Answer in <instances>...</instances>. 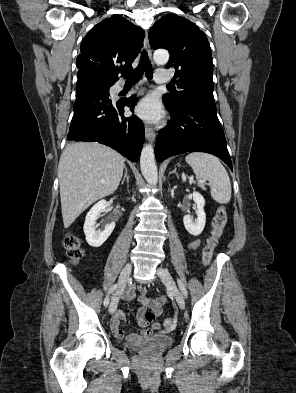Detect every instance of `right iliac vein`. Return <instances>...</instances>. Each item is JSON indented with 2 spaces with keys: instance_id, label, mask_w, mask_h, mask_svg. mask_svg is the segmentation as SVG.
Masks as SVG:
<instances>
[{
  "instance_id": "obj_1",
  "label": "right iliac vein",
  "mask_w": 296,
  "mask_h": 393,
  "mask_svg": "<svg viewBox=\"0 0 296 393\" xmlns=\"http://www.w3.org/2000/svg\"><path fill=\"white\" fill-rule=\"evenodd\" d=\"M131 268H132L131 264L127 263L119 276V280H118L119 287H118V290L116 291L114 297L112 298V301L109 306V313L110 314H113L117 308L120 294L123 291V289L128 281V278L131 273Z\"/></svg>"
}]
</instances>
